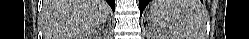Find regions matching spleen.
<instances>
[{"label":"spleen","mask_w":249,"mask_h":39,"mask_svg":"<svg viewBox=\"0 0 249 39\" xmlns=\"http://www.w3.org/2000/svg\"><path fill=\"white\" fill-rule=\"evenodd\" d=\"M150 15L171 39H205L207 11L200 0H153Z\"/></svg>","instance_id":"spleen-1"}]
</instances>
